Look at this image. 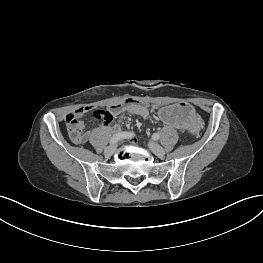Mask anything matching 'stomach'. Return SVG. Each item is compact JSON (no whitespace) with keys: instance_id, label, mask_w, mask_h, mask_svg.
I'll use <instances>...</instances> for the list:
<instances>
[{"instance_id":"1","label":"stomach","mask_w":263,"mask_h":263,"mask_svg":"<svg viewBox=\"0 0 263 263\" xmlns=\"http://www.w3.org/2000/svg\"><path fill=\"white\" fill-rule=\"evenodd\" d=\"M161 123L171 125L175 130H184L193 134L200 130L202 122L193 109L185 102L179 101L173 104H166L159 108L157 113Z\"/></svg>"}]
</instances>
